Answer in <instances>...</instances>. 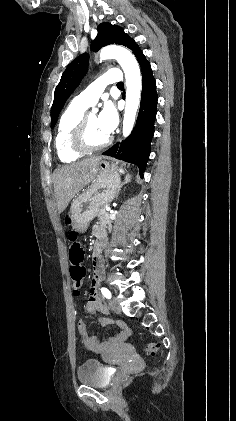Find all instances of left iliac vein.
<instances>
[{"instance_id": "obj_1", "label": "left iliac vein", "mask_w": 236, "mask_h": 421, "mask_svg": "<svg viewBox=\"0 0 236 421\" xmlns=\"http://www.w3.org/2000/svg\"><path fill=\"white\" fill-rule=\"evenodd\" d=\"M109 307L115 313L121 312V309H120V306H119V300L116 297H114L112 300L109 301Z\"/></svg>"}]
</instances>
